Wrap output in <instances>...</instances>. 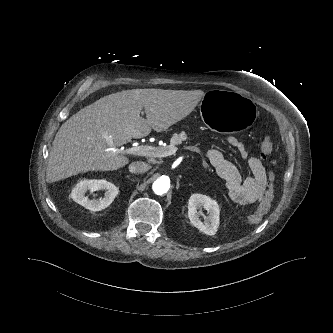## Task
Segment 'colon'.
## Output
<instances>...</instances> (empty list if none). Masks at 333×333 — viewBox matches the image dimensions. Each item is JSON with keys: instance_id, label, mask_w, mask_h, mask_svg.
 Listing matches in <instances>:
<instances>
[{"instance_id": "colon-1", "label": "colon", "mask_w": 333, "mask_h": 333, "mask_svg": "<svg viewBox=\"0 0 333 333\" xmlns=\"http://www.w3.org/2000/svg\"><path fill=\"white\" fill-rule=\"evenodd\" d=\"M273 150L272 137L266 134L260 143V154L263 159H267ZM270 178L273 179V173H270ZM273 200V185H269L259 207L249 215L248 219L252 224H258L262 221L264 214L270 209Z\"/></svg>"}]
</instances>
